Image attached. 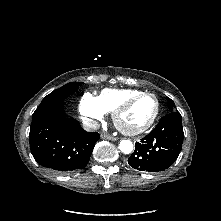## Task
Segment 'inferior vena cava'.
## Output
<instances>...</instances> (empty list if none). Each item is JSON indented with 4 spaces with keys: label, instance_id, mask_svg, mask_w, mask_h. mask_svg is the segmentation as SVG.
<instances>
[{
    "label": "inferior vena cava",
    "instance_id": "obj_1",
    "mask_svg": "<svg viewBox=\"0 0 221 221\" xmlns=\"http://www.w3.org/2000/svg\"><path fill=\"white\" fill-rule=\"evenodd\" d=\"M99 127H100V124L97 121H88L83 124V128L86 131H95V130H98Z\"/></svg>",
    "mask_w": 221,
    "mask_h": 221
}]
</instances>
